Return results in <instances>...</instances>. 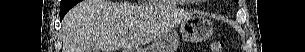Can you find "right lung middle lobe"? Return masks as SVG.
Returning <instances> with one entry per match:
<instances>
[{
	"instance_id": "right-lung-middle-lobe-1",
	"label": "right lung middle lobe",
	"mask_w": 305,
	"mask_h": 52,
	"mask_svg": "<svg viewBox=\"0 0 305 52\" xmlns=\"http://www.w3.org/2000/svg\"><path fill=\"white\" fill-rule=\"evenodd\" d=\"M73 2H79V0H72Z\"/></svg>"
}]
</instances>
